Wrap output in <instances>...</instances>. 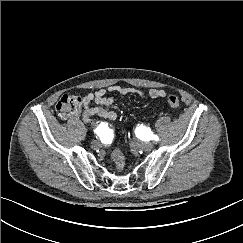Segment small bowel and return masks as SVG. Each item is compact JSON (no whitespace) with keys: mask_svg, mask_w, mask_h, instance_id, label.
<instances>
[{"mask_svg":"<svg viewBox=\"0 0 243 243\" xmlns=\"http://www.w3.org/2000/svg\"><path fill=\"white\" fill-rule=\"evenodd\" d=\"M106 91L116 92L122 95H138L145 98V93L132 87H123L112 85L106 89H99L94 93H88L83 97L82 108L77 110L72 116H78L82 113L83 121L87 124L92 123V117L98 115L108 121H114L117 118L116 113L111 110L113 98L106 96ZM151 98H162L166 95L163 89L154 88L148 92ZM92 103L95 105L92 106ZM112 137V130L104 125V138L109 140Z\"/></svg>","mask_w":243,"mask_h":243,"instance_id":"obj_1","label":"small bowel"}]
</instances>
